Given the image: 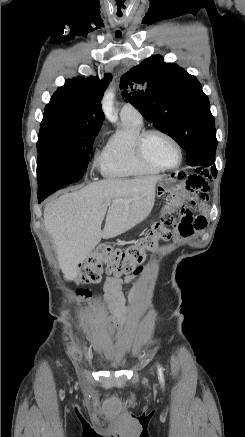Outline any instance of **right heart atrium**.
Returning <instances> with one entry per match:
<instances>
[{"instance_id":"right-heart-atrium-1","label":"right heart atrium","mask_w":245,"mask_h":437,"mask_svg":"<svg viewBox=\"0 0 245 437\" xmlns=\"http://www.w3.org/2000/svg\"><path fill=\"white\" fill-rule=\"evenodd\" d=\"M98 136H99V133L96 135V139H97Z\"/></svg>"}]
</instances>
